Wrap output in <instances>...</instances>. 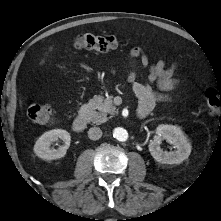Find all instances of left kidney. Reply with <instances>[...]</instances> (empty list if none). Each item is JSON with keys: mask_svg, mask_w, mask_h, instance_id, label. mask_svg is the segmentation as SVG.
I'll return each mask as SVG.
<instances>
[{"mask_svg": "<svg viewBox=\"0 0 221 221\" xmlns=\"http://www.w3.org/2000/svg\"><path fill=\"white\" fill-rule=\"evenodd\" d=\"M162 140L172 144L175 150L163 151L160 147ZM148 147L152 157L162 164H180L191 153V144L180 127L168 124H162L157 127L156 135L150 141Z\"/></svg>", "mask_w": 221, "mask_h": 221, "instance_id": "5707ae66", "label": "left kidney"}]
</instances>
